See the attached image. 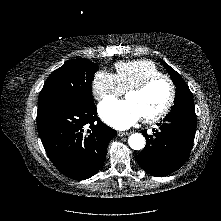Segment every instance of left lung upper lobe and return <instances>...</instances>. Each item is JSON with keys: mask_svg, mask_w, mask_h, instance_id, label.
<instances>
[{"mask_svg": "<svg viewBox=\"0 0 221 221\" xmlns=\"http://www.w3.org/2000/svg\"><path fill=\"white\" fill-rule=\"evenodd\" d=\"M170 77L176 86V96L174 100V105L172 106L170 113H182V112H192L195 113L194 100L188 85L184 82L182 77L168 64L162 61Z\"/></svg>", "mask_w": 221, "mask_h": 221, "instance_id": "obj_1", "label": "left lung upper lobe"}]
</instances>
